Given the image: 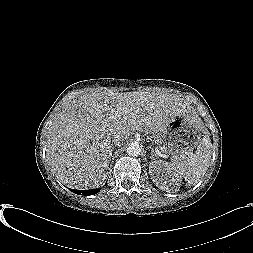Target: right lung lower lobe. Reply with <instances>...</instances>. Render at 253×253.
<instances>
[{
    "label": "right lung lower lobe",
    "instance_id": "1",
    "mask_svg": "<svg viewBox=\"0 0 253 253\" xmlns=\"http://www.w3.org/2000/svg\"><path fill=\"white\" fill-rule=\"evenodd\" d=\"M107 184V183H106ZM105 184V185H106ZM76 194L79 195H93L99 192V189H92V190H73Z\"/></svg>",
    "mask_w": 253,
    "mask_h": 253
}]
</instances>
